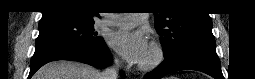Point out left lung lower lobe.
I'll return each mask as SVG.
<instances>
[{
    "mask_svg": "<svg viewBox=\"0 0 255 79\" xmlns=\"http://www.w3.org/2000/svg\"><path fill=\"white\" fill-rule=\"evenodd\" d=\"M180 70H198L215 79H224L221 65L216 54L215 41H195L165 58L154 71L147 73L144 79H160Z\"/></svg>",
    "mask_w": 255,
    "mask_h": 79,
    "instance_id": "1",
    "label": "left lung lower lobe"
}]
</instances>
